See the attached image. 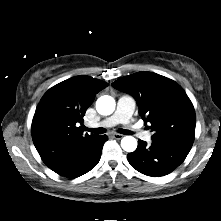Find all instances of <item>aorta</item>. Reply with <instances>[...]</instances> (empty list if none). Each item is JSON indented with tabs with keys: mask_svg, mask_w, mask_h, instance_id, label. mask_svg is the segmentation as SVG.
I'll list each match as a JSON object with an SVG mask.
<instances>
[{
	"mask_svg": "<svg viewBox=\"0 0 221 221\" xmlns=\"http://www.w3.org/2000/svg\"><path fill=\"white\" fill-rule=\"evenodd\" d=\"M115 109L113 97L104 95L97 99L96 110L101 115H110ZM121 147L126 152H133L137 148V140L132 136H125L121 140Z\"/></svg>",
	"mask_w": 221,
	"mask_h": 221,
	"instance_id": "762f6f07",
	"label": "aorta"
}]
</instances>
